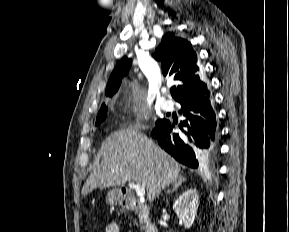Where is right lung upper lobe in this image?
Segmentation results:
<instances>
[{
  "label": "right lung upper lobe",
  "mask_w": 289,
  "mask_h": 232,
  "mask_svg": "<svg viewBox=\"0 0 289 232\" xmlns=\"http://www.w3.org/2000/svg\"><path fill=\"white\" fill-rule=\"evenodd\" d=\"M153 57L161 61L164 75H169L180 83L172 94L176 101L210 92L205 78L197 66L196 53L186 39L176 37L172 32L166 33ZM131 63L132 60L127 57L118 62L108 81L106 96H113L116 93L121 79L127 75Z\"/></svg>",
  "instance_id": "cb5924a9"
}]
</instances>
